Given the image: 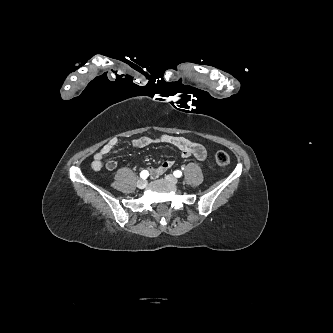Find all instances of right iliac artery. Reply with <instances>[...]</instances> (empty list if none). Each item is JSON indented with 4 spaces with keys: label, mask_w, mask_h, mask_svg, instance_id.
I'll list each match as a JSON object with an SVG mask.
<instances>
[{
    "label": "right iliac artery",
    "mask_w": 333,
    "mask_h": 333,
    "mask_svg": "<svg viewBox=\"0 0 333 333\" xmlns=\"http://www.w3.org/2000/svg\"><path fill=\"white\" fill-rule=\"evenodd\" d=\"M140 176L142 179H146L148 176H149V172L147 170H143L141 173H140Z\"/></svg>",
    "instance_id": "82829eb1"
}]
</instances>
